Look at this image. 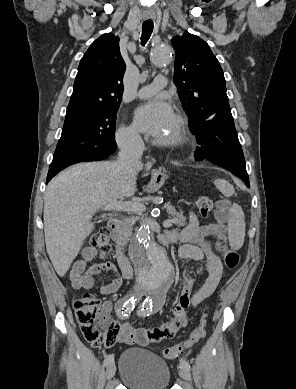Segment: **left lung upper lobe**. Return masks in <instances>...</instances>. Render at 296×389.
<instances>
[{
    "mask_svg": "<svg viewBox=\"0 0 296 389\" xmlns=\"http://www.w3.org/2000/svg\"><path fill=\"white\" fill-rule=\"evenodd\" d=\"M171 43L176 52L174 83L189 117V129L197 138L201 125L230 109L223 70L209 45L198 36L186 31Z\"/></svg>",
    "mask_w": 296,
    "mask_h": 389,
    "instance_id": "1",
    "label": "left lung upper lobe"
}]
</instances>
